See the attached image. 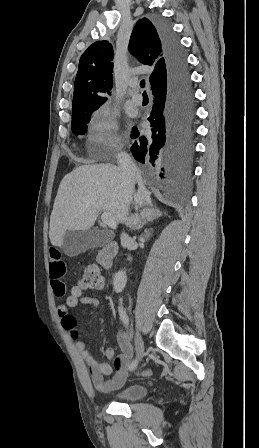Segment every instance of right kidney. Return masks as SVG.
<instances>
[{
  "label": "right kidney",
  "instance_id": "1",
  "mask_svg": "<svg viewBox=\"0 0 259 448\" xmlns=\"http://www.w3.org/2000/svg\"><path fill=\"white\" fill-rule=\"evenodd\" d=\"M126 274L125 272H117L113 278V286L115 292H122L123 288L126 286Z\"/></svg>",
  "mask_w": 259,
  "mask_h": 448
}]
</instances>
